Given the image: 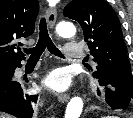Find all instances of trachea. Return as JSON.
I'll list each match as a JSON object with an SVG mask.
<instances>
[{
	"mask_svg": "<svg viewBox=\"0 0 133 118\" xmlns=\"http://www.w3.org/2000/svg\"><path fill=\"white\" fill-rule=\"evenodd\" d=\"M39 30V40L37 42V45L33 48L24 49V52L30 55L29 59H39L46 47L51 54L63 58V54L56 48L48 34L46 20L44 18L40 20Z\"/></svg>",
	"mask_w": 133,
	"mask_h": 118,
	"instance_id": "3493384b",
	"label": "trachea"
}]
</instances>
